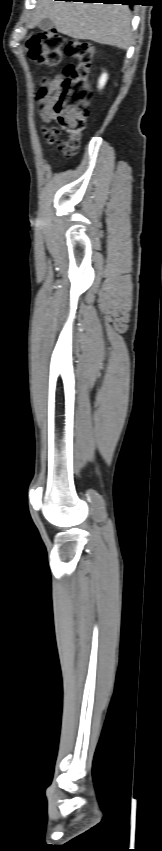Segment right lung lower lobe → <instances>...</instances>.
Segmentation results:
<instances>
[{
	"label": "right lung lower lobe",
	"instance_id": "1",
	"mask_svg": "<svg viewBox=\"0 0 162 851\" xmlns=\"http://www.w3.org/2000/svg\"><path fill=\"white\" fill-rule=\"evenodd\" d=\"M65 1H83V2H101L104 4H122V5H133V2L136 0H65Z\"/></svg>",
	"mask_w": 162,
	"mask_h": 851
}]
</instances>
